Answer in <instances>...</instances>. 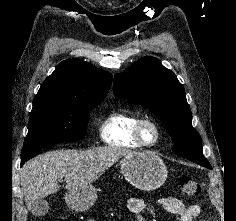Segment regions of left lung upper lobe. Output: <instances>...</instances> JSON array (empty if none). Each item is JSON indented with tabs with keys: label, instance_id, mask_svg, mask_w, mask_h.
I'll list each match as a JSON object with an SVG mask.
<instances>
[{
	"label": "left lung upper lobe",
	"instance_id": "left-lung-upper-lobe-1",
	"mask_svg": "<svg viewBox=\"0 0 236 221\" xmlns=\"http://www.w3.org/2000/svg\"><path fill=\"white\" fill-rule=\"evenodd\" d=\"M114 95L150 109L166 126L177 153L211 169L203 155L199 133L192 126V113L185 90L176 75L161 62L146 56L122 74L115 75Z\"/></svg>",
	"mask_w": 236,
	"mask_h": 221
}]
</instances>
